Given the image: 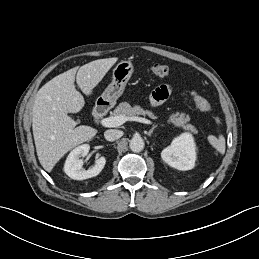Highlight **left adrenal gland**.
Here are the masks:
<instances>
[{"label":"left adrenal gland","mask_w":259,"mask_h":259,"mask_svg":"<svg viewBox=\"0 0 259 259\" xmlns=\"http://www.w3.org/2000/svg\"><path fill=\"white\" fill-rule=\"evenodd\" d=\"M156 127H157V126L154 125V126L149 130V132H147V135H148V136H151L152 133H153V131H154V129H155Z\"/></svg>","instance_id":"obj_1"}]
</instances>
